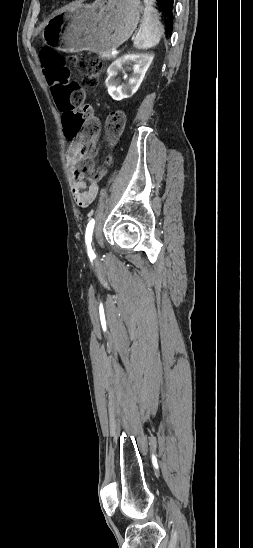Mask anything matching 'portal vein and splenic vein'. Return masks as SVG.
Wrapping results in <instances>:
<instances>
[{"mask_svg": "<svg viewBox=\"0 0 253 548\" xmlns=\"http://www.w3.org/2000/svg\"><path fill=\"white\" fill-rule=\"evenodd\" d=\"M111 54H112V55L114 56V55H116V54H117V52L115 51V52H112Z\"/></svg>", "mask_w": 253, "mask_h": 548, "instance_id": "1", "label": "portal vein and splenic vein"}]
</instances>
